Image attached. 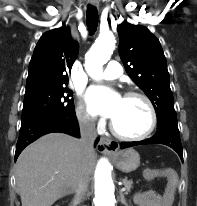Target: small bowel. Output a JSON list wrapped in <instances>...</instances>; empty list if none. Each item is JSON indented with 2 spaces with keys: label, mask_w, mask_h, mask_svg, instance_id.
<instances>
[{
  "label": "small bowel",
  "mask_w": 197,
  "mask_h": 206,
  "mask_svg": "<svg viewBox=\"0 0 197 206\" xmlns=\"http://www.w3.org/2000/svg\"><path fill=\"white\" fill-rule=\"evenodd\" d=\"M136 206H164L163 198L154 192H138L134 195Z\"/></svg>",
  "instance_id": "c3829d8e"
}]
</instances>
